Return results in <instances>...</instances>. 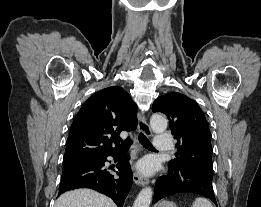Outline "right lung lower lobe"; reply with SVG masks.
Wrapping results in <instances>:
<instances>
[{"instance_id":"right-lung-lower-lobe-1","label":"right lung lower lobe","mask_w":261,"mask_h":207,"mask_svg":"<svg viewBox=\"0 0 261 207\" xmlns=\"http://www.w3.org/2000/svg\"><path fill=\"white\" fill-rule=\"evenodd\" d=\"M108 156H119V152L99 156L91 164L63 169L58 196L72 189L90 188L109 196L118 207H123L133 183L129 156L119 158L117 171L114 170L119 178L110 174L109 169L104 166Z\"/></svg>"}]
</instances>
